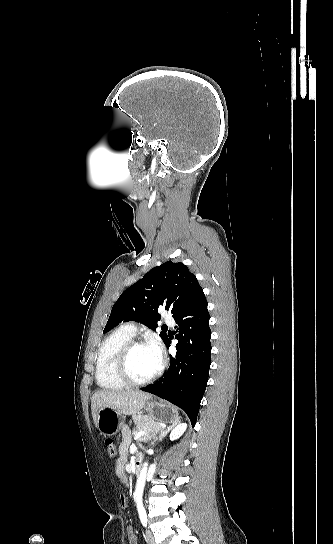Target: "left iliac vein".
<instances>
[{
    "instance_id": "1",
    "label": "left iliac vein",
    "mask_w": 333,
    "mask_h": 544,
    "mask_svg": "<svg viewBox=\"0 0 333 544\" xmlns=\"http://www.w3.org/2000/svg\"><path fill=\"white\" fill-rule=\"evenodd\" d=\"M146 537L149 544H155L153 533L150 530L146 531Z\"/></svg>"
}]
</instances>
